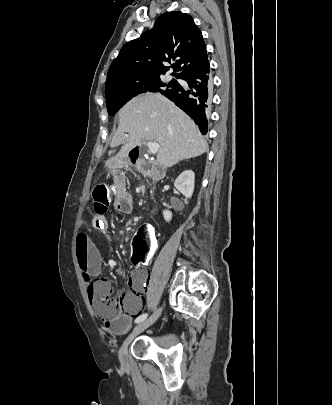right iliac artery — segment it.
I'll return each mask as SVG.
<instances>
[{
	"mask_svg": "<svg viewBox=\"0 0 332 405\" xmlns=\"http://www.w3.org/2000/svg\"><path fill=\"white\" fill-rule=\"evenodd\" d=\"M148 314H142L135 319V323H140L147 318Z\"/></svg>",
	"mask_w": 332,
	"mask_h": 405,
	"instance_id": "1",
	"label": "right iliac artery"
}]
</instances>
